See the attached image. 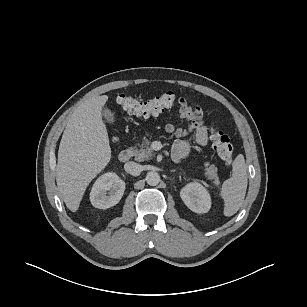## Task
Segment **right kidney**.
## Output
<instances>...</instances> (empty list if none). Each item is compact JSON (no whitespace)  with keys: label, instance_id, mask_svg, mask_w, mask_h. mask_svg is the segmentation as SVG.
I'll return each mask as SVG.
<instances>
[{"label":"right kidney","instance_id":"obj_1","mask_svg":"<svg viewBox=\"0 0 307 307\" xmlns=\"http://www.w3.org/2000/svg\"><path fill=\"white\" fill-rule=\"evenodd\" d=\"M125 191V182L117 174L108 172L101 175L90 192L91 204L99 209H107L116 205Z\"/></svg>","mask_w":307,"mask_h":307}]
</instances>
